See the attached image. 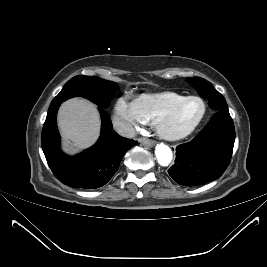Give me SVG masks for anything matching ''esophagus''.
I'll return each mask as SVG.
<instances>
[{"instance_id":"34e87169","label":"esophagus","mask_w":267,"mask_h":267,"mask_svg":"<svg viewBox=\"0 0 267 267\" xmlns=\"http://www.w3.org/2000/svg\"><path fill=\"white\" fill-rule=\"evenodd\" d=\"M139 142L146 147H152L155 144V142L153 140H149L146 138H140Z\"/></svg>"}]
</instances>
